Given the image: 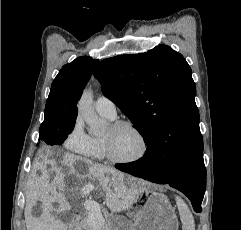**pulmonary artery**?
<instances>
[{
	"instance_id": "obj_1",
	"label": "pulmonary artery",
	"mask_w": 241,
	"mask_h": 230,
	"mask_svg": "<svg viewBox=\"0 0 241 230\" xmlns=\"http://www.w3.org/2000/svg\"><path fill=\"white\" fill-rule=\"evenodd\" d=\"M95 109L101 115L107 116L111 119L116 117V106L114 102L106 96H100L97 98Z\"/></svg>"
}]
</instances>
